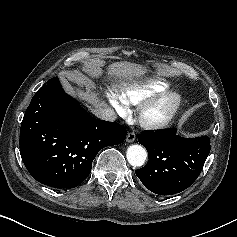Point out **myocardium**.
Returning a JSON list of instances; mask_svg holds the SVG:
<instances>
[{"mask_svg": "<svg viewBox=\"0 0 237 237\" xmlns=\"http://www.w3.org/2000/svg\"><path fill=\"white\" fill-rule=\"evenodd\" d=\"M181 97L176 93H164L140 106L137 114L139 123L147 129L166 127L177 114Z\"/></svg>", "mask_w": 237, "mask_h": 237, "instance_id": "1", "label": "myocardium"}]
</instances>
